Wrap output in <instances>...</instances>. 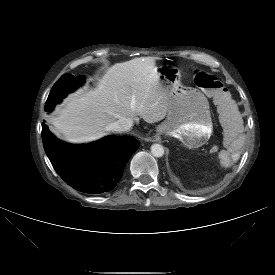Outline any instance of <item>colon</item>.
Listing matches in <instances>:
<instances>
[{
	"instance_id": "colon-1",
	"label": "colon",
	"mask_w": 275,
	"mask_h": 275,
	"mask_svg": "<svg viewBox=\"0 0 275 275\" xmlns=\"http://www.w3.org/2000/svg\"><path fill=\"white\" fill-rule=\"evenodd\" d=\"M193 77L196 85L212 96L218 105L227 102V89L215 76L203 70L196 69L193 73Z\"/></svg>"
}]
</instances>
